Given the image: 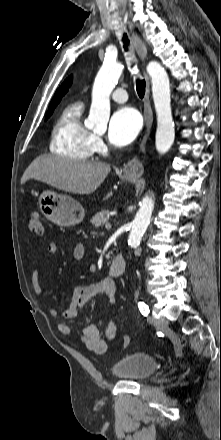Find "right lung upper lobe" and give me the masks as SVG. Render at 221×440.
Segmentation results:
<instances>
[{"instance_id":"1","label":"right lung upper lobe","mask_w":221,"mask_h":440,"mask_svg":"<svg viewBox=\"0 0 221 440\" xmlns=\"http://www.w3.org/2000/svg\"><path fill=\"white\" fill-rule=\"evenodd\" d=\"M72 83V76L68 77L63 84L59 87V89L56 91L54 98L52 102L50 103L49 109L55 108L56 105L60 102L62 96L67 92L68 88L70 87ZM48 109V110H49Z\"/></svg>"}]
</instances>
